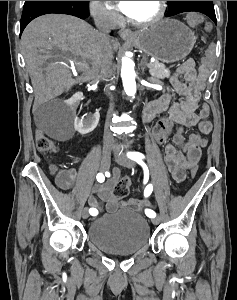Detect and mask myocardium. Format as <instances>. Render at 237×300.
I'll use <instances>...</instances> for the list:
<instances>
[{"mask_svg":"<svg viewBox=\"0 0 237 300\" xmlns=\"http://www.w3.org/2000/svg\"><path fill=\"white\" fill-rule=\"evenodd\" d=\"M167 9V1H157V11L155 15L145 21H137L134 19H129V22L139 28H148L158 24L165 16Z\"/></svg>","mask_w":237,"mask_h":300,"instance_id":"obj_1","label":"myocardium"}]
</instances>
